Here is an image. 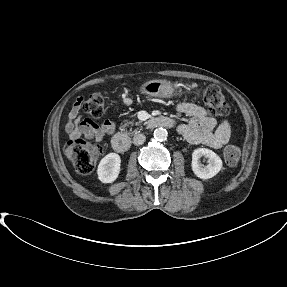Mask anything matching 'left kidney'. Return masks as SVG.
I'll return each instance as SVG.
<instances>
[{"label":"left kidney","instance_id":"obj_1","mask_svg":"<svg viewBox=\"0 0 287 287\" xmlns=\"http://www.w3.org/2000/svg\"><path fill=\"white\" fill-rule=\"evenodd\" d=\"M204 156L208 159V165L203 167L199 159ZM192 170L194 174L201 179H209L218 174L222 168L221 158L212 150L198 148L192 153Z\"/></svg>","mask_w":287,"mask_h":287}]
</instances>
